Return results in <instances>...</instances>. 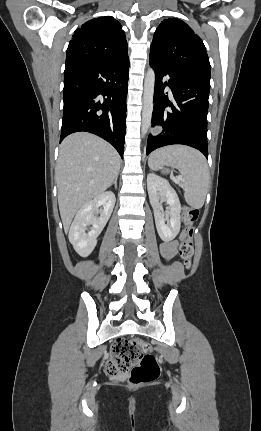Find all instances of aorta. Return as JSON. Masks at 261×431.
Listing matches in <instances>:
<instances>
[{
	"label": "aorta",
	"instance_id": "1",
	"mask_svg": "<svg viewBox=\"0 0 261 431\" xmlns=\"http://www.w3.org/2000/svg\"><path fill=\"white\" fill-rule=\"evenodd\" d=\"M155 87V72L149 69L144 80L143 110H142V135L150 128L153 112V96Z\"/></svg>",
	"mask_w": 261,
	"mask_h": 431
}]
</instances>
